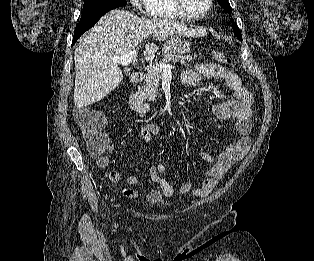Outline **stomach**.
Wrapping results in <instances>:
<instances>
[{"instance_id":"1","label":"stomach","mask_w":314,"mask_h":261,"mask_svg":"<svg viewBox=\"0 0 314 261\" xmlns=\"http://www.w3.org/2000/svg\"><path fill=\"white\" fill-rule=\"evenodd\" d=\"M169 51L186 54L190 51V44L180 35H174L167 41Z\"/></svg>"}]
</instances>
